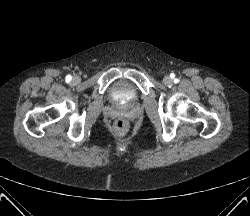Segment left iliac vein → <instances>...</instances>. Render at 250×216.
Segmentation results:
<instances>
[{"mask_svg": "<svg viewBox=\"0 0 250 216\" xmlns=\"http://www.w3.org/2000/svg\"><path fill=\"white\" fill-rule=\"evenodd\" d=\"M163 83L165 85H171L172 84V79L169 76H165L163 79Z\"/></svg>", "mask_w": 250, "mask_h": 216, "instance_id": "4c4485c4", "label": "left iliac vein"}]
</instances>
